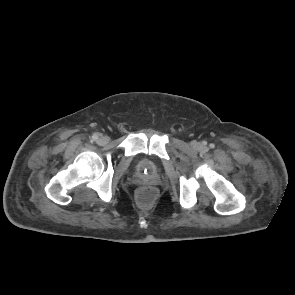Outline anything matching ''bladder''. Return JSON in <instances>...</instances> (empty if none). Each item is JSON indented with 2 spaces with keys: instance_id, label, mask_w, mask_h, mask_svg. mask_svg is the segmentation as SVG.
<instances>
[{
  "instance_id": "31cf9c89",
  "label": "bladder",
  "mask_w": 295,
  "mask_h": 295,
  "mask_svg": "<svg viewBox=\"0 0 295 295\" xmlns=\"http://www.w3.org/2000/svg\"><path fill=\"white\" fill-rule=\"evenodd\" d=\"M133 172L138 178L144 181H151L157 176L158 167L153 161L147 158H140L134 163Z\"/></svg>"
}]
</instances>
